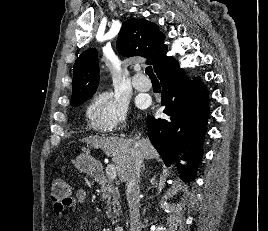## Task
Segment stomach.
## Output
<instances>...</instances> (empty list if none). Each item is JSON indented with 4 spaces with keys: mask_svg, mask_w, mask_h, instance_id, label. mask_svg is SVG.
I'll list each match as a JSON object with an SVG mask.
<instances>
[{
    "mask_svg": "<svg viewBox=\"0 0 268 231\" xmlns=\"http://www.w3.org/2000/svg\"><path fill=\"white\" fill-rule=\"evenodd\" d=\"M75 167L83 173L92 174L99 167V163L89 153L78 155L74 161Z\"/></svg>",
    "mask_w": 268,
    "mask_h": 231,
    "instance_id": "1",
    "label": "stomach"
}]
</instances>
